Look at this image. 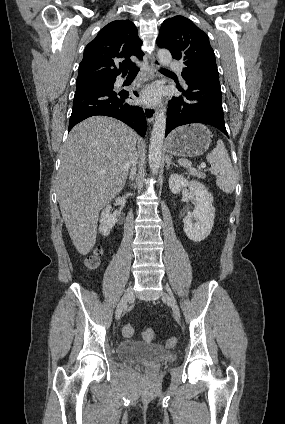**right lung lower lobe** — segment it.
Segmentation results:
<instances>
[{"label": "right lung lower lobe", "instance_id": "1", "mask_svg": "<svg viewBox=\"0 0 285 424\" xmlns=\"http://www.w3.org/2000/svg\"><path fill=\"white\" fill-rule=\"evenodd\" d=\"M113 88L87 87L76 89L73 110L69 120V131L77 123L90 116L103 115L123 121L144 137L147 129L144 111L138 106L125 102L129 97V92H116ZM134 94L138 96L136 91H134Z\"/></svg>", "mask_w": 285, "mask_h": 424}]
</instances>
